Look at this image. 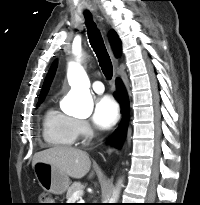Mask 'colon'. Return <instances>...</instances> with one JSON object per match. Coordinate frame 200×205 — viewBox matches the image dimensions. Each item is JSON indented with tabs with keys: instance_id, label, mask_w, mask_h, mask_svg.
I'll list each match as a JSON object with an SVG mask.
<instances>
[{
	"instance_id": "1",
	"label": "colon",
	"mask_w": 200,
	"mask_h": 205,
	"mask_svg": "<svg viewBox=\"0 0 200 205\" xmlns=\"http://www.w3.org/2000/svg\"><path fill=\"white\" fill-rule=\"evenodd\" d=\"M52 197L49 194L43 193L39 196L38 205H53Z\"/></svg>"
}]
</instances>
